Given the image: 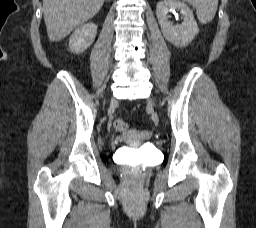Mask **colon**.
<instances>
[{
    "instance_id": "5ec220e1",
    "label": "colon",
    "mask_w": 256,
    "mask_h": 228,
    "mask_svg": "<svg viewBox=\"0 0 256 228\" xmlns=\"http://www.w3.org/2000/svg\"><path fill=\"white\" fill-rule=\"evenodd\" d=\"M114 128L118 131V132H125L128 129V125L125 121H123L122 119H117L114 121Z\"/></svg>"
}]
</instances>
